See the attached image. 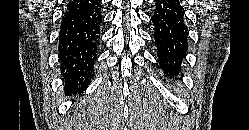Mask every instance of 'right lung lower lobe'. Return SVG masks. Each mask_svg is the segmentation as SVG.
<instances>
[{
    "instance_id": "1",
    "label": "right lung lower lobe",
    "mask_w": 249,
    "mask_h": 130,
    "mask_svg": "<svg viewBox=\"0 0 249 130\" xmlns=\"http://www.w3.org/2000/svg\"><path fill=\"white\" fill-rule=\"evenodd\" d=\"M102 22L98 0H73L67 5L59 32L64 78L74 88L86 86L93 74Z\"/></svg>"
}]
</instances>
